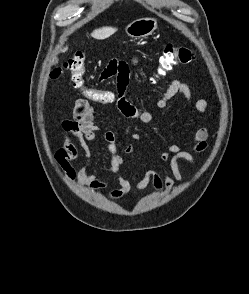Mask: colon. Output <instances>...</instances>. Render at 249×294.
I'll use <instances>...</instances> for the list:
<instances>
[{
  "instance_id": "5ec220e1",
  "label": "colon",
  "mask_w": 249,
  "mask_h": 294,
  "mask_svg": "<svg viewBox=\"0 0 249 294\" xmlns=\"http://www.w3.org/2000/svg\"><path fill=\"white\" fill-rule=\"evenodd\" d=\"M195 58L194 52L185 46L168 44L164 47L158 60V76H164L180 65L190 63ZM128 65L125 61L113 59L103 71L107 76H118L123 74ZM85 56L81 52L75 53L63 67L52 73L53 78L68 74L75 89L82 92L88 99L94 102H110L113 94L108 90L89 88L85 82Z\"/></svg>"
}]
</instances>
